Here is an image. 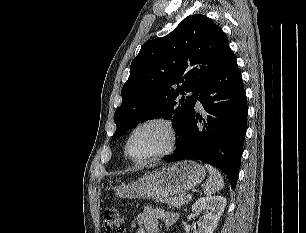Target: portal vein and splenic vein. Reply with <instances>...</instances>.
Returning a JSON list of instances; mask_svg holds the SVG:
<instances>
[{
    "mask_svg": "<svg viewBox=\"0 0 306 233\" xmlns=\"http://www.w3.org/2000/svg\"><path fill=\"white\" fill-rule=\"evenodd\" d=\"M186 198H187L188 200H190V199H192V195H191V194H188V195L186 196Z\"/></svg>",
    "mask_w": 306,
    "mask_h": 233,
    "instance_id": "obj_1",
    "label": "portal vein and splenic vein"
}]
</instances>
